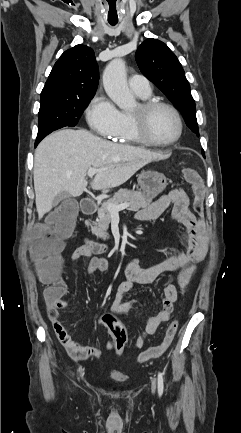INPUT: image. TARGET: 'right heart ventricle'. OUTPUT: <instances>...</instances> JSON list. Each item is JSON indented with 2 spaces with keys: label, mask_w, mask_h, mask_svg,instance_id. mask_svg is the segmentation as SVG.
<instances>
[{
  "label": "right heart ventricle",
  "mask_w": 241,
  "mask_h": 433,
  "mask_svg": "<svg viewBox=\"0 0 241 433\" xmlns=\"http://www.w3.org/2000/svg\"><path fill=\"white\" fill-rule=\"evenodd\" d=\"M139 96V95H138ZM142 99H147L149 96H139ZM112 140L119 143L124 144H142V141L139 139V137L136 135L130 113L123 112L122 113V121L119 130L115 135H113Z\"/></svg>",
  "instance_id": "obj_1"
}]
</instances>
